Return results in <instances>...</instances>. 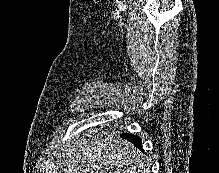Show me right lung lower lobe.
<instances>
[{
	"mask_svg": "<svg viewBox=\"0 0 219 173\" xmlns=\"http://www.w3.org/2000/svg\"><path fill=\"white\" fill-rule=\"evenodd\" d=\"M122 137L132 142L136 147L141 148V139L138 136L125 133Z\"/></svg>",
	"mask_w": 219,
	"mask_h": 173,
	"instance_id": "98d812e1",
	"label": "right lung lower lobe"
}]
</instances>
